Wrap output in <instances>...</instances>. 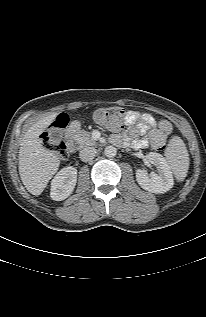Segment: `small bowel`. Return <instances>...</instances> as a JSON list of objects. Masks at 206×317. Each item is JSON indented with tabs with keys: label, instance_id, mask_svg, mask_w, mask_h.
I'll use <instances>...</instances> for the list:
<instances>
[{
	"label": "small bowel",
	"instance_id": "obj_1",
	"mask_svg": "<svg viewBox=\"0 0 206 317\" xmlns=\"http://www.w3.org/2000/svg\"><path fill=\"white\" fill-rule=\"evenodd\" d=\"M127 124L130 126L129 130L115 136V139L130 141L135 149H143L150 145L160 150L165 138L172 131V126L167 120L156 122L152 115L138 111L127 113Z\"/></svg>",
	"mask_w": 206,
	"mask_h": 317
}]
</instances>
